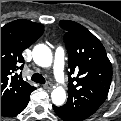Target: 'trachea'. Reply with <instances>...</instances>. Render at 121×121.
I'll use <instances>...</instances> for the list:
<instances>
[{"label":"trachea","instance_id":"obj_1","mask_svg":"<svg viewBox=\"0 0 121 121\" xmlns=\"http://www.w3.org/2000/svg\"><path fill=\"white\" fill-rule=\"evenodd\" d=\"M31 80L40 84H45V78L39 74V73H35L32 75Z\"/></svg>","mask_w":121,"mask_h":121}]
</instances>
